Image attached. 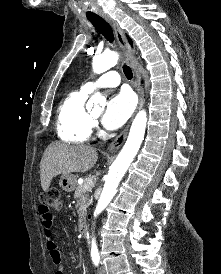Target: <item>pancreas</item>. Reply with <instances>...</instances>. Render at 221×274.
<instances>
[{
  "label": "pancreas",
  "instance_id": "obj_1",
  "mask_svg": "<svg viewBox=\"0 0 221 274\" xmlns=\"http://www.w3.org/2000/svg\"><path fill=\"white\" fill-rule=\"evenodd\" d=\"M86 179L84 180L82 185H78L76 191L74 193V199L77 200L76 208H78L77 213L79 215V225H83L85 221V215L87 212V208L90 204V199L88 197V192L90 189H86L85 186Z\"/></svg>",
  "mask_w": 221,
  "mask_h": 274
}]
</instances>
